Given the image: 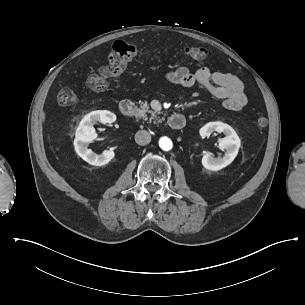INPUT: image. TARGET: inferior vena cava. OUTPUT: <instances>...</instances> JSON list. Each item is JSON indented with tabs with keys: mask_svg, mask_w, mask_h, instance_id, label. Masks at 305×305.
Masks as SVG:
<instances>
[{
	"mask_svg": "<svg viewBox=\"0 0 305 305\" xmlns=\"http://www.w3.org/2000/svg\"><path fill=\"white\" fill-rule=\"evenodd\" d=\"M151 141V135L146 130H139L135 134V142L138 145H147Z\"/></svg>",
	"mask_w": 305,
	"mask_h": 305,
	"instance_id": "inferior-vena-cava-1",
	"label": "inferior vena cava"
}]
</instances>
